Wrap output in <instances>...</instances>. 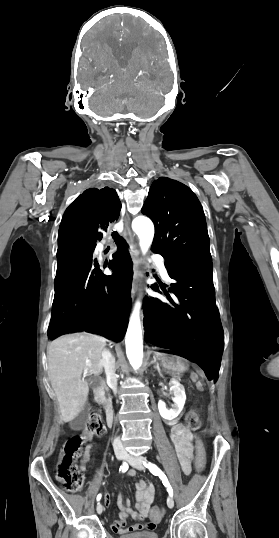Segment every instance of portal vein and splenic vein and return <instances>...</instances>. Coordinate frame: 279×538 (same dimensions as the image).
<instances>
[{"mask_svg":"<svg viewBox=\"0 0 279 538\" xmlns=\"http://www.w3.org/2000/svg\"><path fill=\"white\" fill-rule=\"evenodd\" d=\"M178 377H170V383H177Z\"/></svg>","mask_w":279,"mask_h":538,"instance_id":"1","label":"portal vein and splenic vein"}]
</instances>
